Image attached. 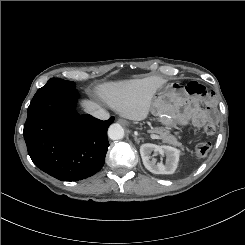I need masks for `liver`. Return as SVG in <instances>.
<instances>
[{"label":"liver","instance_id":"obj_1","mask_svg":"<svg viewBox=\"0 0 245 245\" xmlns=\"http://www.w3.org/2000/svg\"><path fill=\"white\" fill-rule=\"evenodd\" d=\"M164 83L159 76L110 82L99 87V95L121 117L141 121L147 117L152 99ZM83 106L89 112L99 107L91 101H84Z\"/></svg>","mask_w":245,"mask_h":245}]
</instances>
